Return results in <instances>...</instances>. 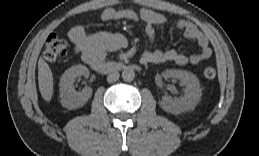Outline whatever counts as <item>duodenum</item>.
<instances>
[{
  "label": "duodenum",
  "mask_w": 259,
  "mask_h": 156,
  "mask_svg": "<svg viewBox=\"0 0 259 156\" xmlns=\"http://www.w3.org/2000/svg\"><path fill=\"white\" fill-rule=\"evenodd\" d=\"M93 69L100 73H113L123 70H138L139 66L136 64L128 65L123 62H104L99 61L92 65Z\"/></svg>",
  "instance_id": "410a0bca"
}]
</instances>
